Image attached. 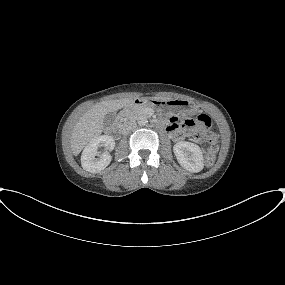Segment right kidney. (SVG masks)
Instances as JSON below:
<instances>
[{
    "label": "right kidney",
    "mask_w": 285,
    "mask_h": 285,
    "mask_svg": "<svg viewBox=\"0 0 285 285\" xmlns=\"http://www.w3.org/2000/svg\"><path fill=\"white\" fill-rule=\"evenodd\" d=\"M101 147L105 148V152L102 154L97 151ZM114 147L115 142L113 138L108 135H101L90 141L85 146L81 155V165L83 169L91 173H98L104 170L112 160L109 151H112Z\"/></svg>",
    "instance_id": "ca27d5eb"
}]
</instances>
